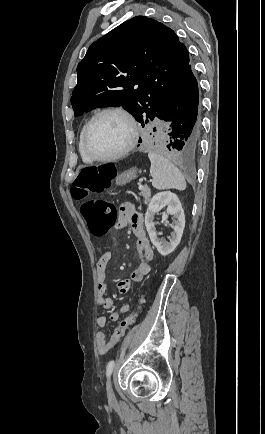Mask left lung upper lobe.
I'll list each match as a JSON object with an SVG mask.
<instances>
[{
	"mask_svg": "<svg viewBox=\"0 0 265 434\" xmlns=\"http://www.w3.org/2000/svg\"><path fill=\"white\" fill-rule=\"evenodd\" d=\"M189 62L171 28L134 17L94 42L78 64L71 97L75 117L96 107L122 106L144 125L155 118Z\"/></svg>",
	"mask_w": 265,
	"mask_h": 434,
	"instance_id": "obj_1",
	"label": "left lung upper lobe"
}]
</instances>
